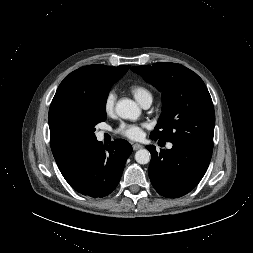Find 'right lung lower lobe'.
Here are the masks:
<instances>
[{
    "label": "right lung lower lobe",
    "instance_id": "obj_1",
    "mask_svg": "<svg viewBox=\"0 0 253 253\" xmlns=\"http://www.w3.org/2000/svg\"><path fill=\"white\" fill-rule=\"evenodd\" d=\"M132 146L117 139L108 147L97 139L79 144L56 163L68 184L78 193L102 198L118 185Z\"/></svg>",
    "mask_w": 253,
    "mask_h": 253
}]
</instances>
